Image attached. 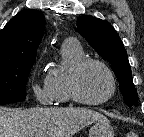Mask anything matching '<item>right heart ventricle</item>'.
<instances>
[{"label":"right heart ventricle","instance_id":"1","mask_svg":"<svg viewBox=\"0 0 144 137\" xmlns=\"http://www.w3.org/2000/svg\"><path fill=\"white\" fill-rule=\"evenodd\" d=\"M84 51L75 40H67L61 48L60 63L48 71L47 79L54 96V102L63 104L71 99L68 78L72 68L84 59Z\"/></svg>","mask_w":144,"mask_h":137}]
</instances>
